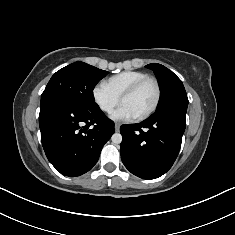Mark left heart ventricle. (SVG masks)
Listing matches in <instances>:
<instances>
[{
    "label": "left heart ventricle",
    "instance_id": "left-heart-ventricle-1",
    "mask_svg": "<svg viewBox=\"0 0 235 235\" xmlns=\"http://www.w3.org/2000/svg\"><path fill=\"white\" fill-rule=\"evenodd\" d=\"M156 90L153 83L148 82L135 94L126 97L122 104L127 105L137 116L147 111L153 104Z\"/></svg>",
    "mask_w": 235,
    "mask_h": 235
}]
</instances>
